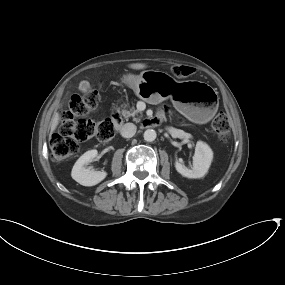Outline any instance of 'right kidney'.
Masks as SVG:
<instances>
[{"instance_id":"ca27d5eb","label":"right kidney","mask_w":285,"mask_h":285,"mask_svg":"<svg viewBox=\"0 0 285 285\" xmlns=\"http://www.w3.org/2000/svg\"><path fill=\"white\" fill-rule=\"evenodd\" d=\"M97 150L85 152L74 164L71 172L72 178L83 186H94L104 180L107 176L105 171H94L86 166L96 159Z\"/></svg>"}]
</instances>
